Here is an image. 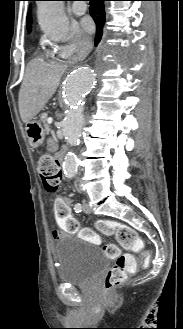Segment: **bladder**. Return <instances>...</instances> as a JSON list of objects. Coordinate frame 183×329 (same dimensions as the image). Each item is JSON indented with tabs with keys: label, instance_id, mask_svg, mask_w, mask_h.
Masks as SVG:
<instances>
[{
	"label": "bladder",
	"instance_id": "obj_1",
	"mask_svg": "<svg viewBox=\"0 0 183 329\" xmlns=\"http://www.w3.org/2000/svg\"><path fill=\"white\" fill-rule=\"evenodd\" d=\"M53 253L58 262V279L62 283L86 284L108 269L104 252L88 240L74 235L60 237Z\"/></svg>",
	"mask_w": 183,
	"mask_h": 329
}]
</instances>
